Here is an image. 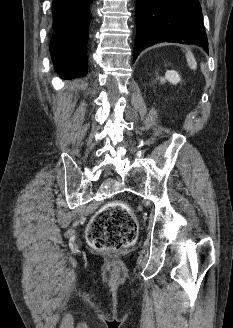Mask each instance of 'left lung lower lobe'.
I'll return each instance as SVG.
<instances>
[{
	"instance_id": "0a47b994",
	"label": "left lung lower lobe",
	"mask_w": 233,
	"mask_h": 328,
	"mask_svg": "<svg viewBox=\"0 0 233 328\" xmlns=\"http://www.w3.org/2000/svg\"><path fill=\"white\" fill-rule=\"evenodd\" d=\"M134 61L142 50L159 42L201 45L208 41L198 0H136Z\"/></svg>"
}]
</instances>
